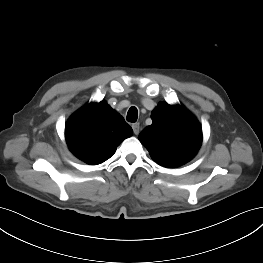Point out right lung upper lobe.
<instances>
[{
	"instance_id": "obj_1",
	"label": "right lung upper lobe",
	"mask_w": 263,
	"mask_h": 263,
	"mask_svg": "<svg viewBox=\"0 0 263 263\" xmlns=\"http://www.w3.org/2000/svg\"><path fill=\"white\" fill-rule=\"evenodd\" d=\"M131 135L130 125L105 101L84 106L65 126L70 151L90 165L109 159L120 143Z\"/></svg>"
}]
</instances>
